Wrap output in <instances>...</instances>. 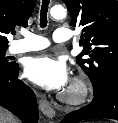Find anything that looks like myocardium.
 <instances>
[{
    "label": "myocardium",
    "instance_id": "f54148a6",
    "mask_svg": "<svg viewBox=\"0 0 118 123\" xmlns=\"http://www.w3.org/2000/svg\"><path fill=\"white\" fill-rule=\"evenodd\" d=\"M91 93V87L88 80L83 77L74 78L68 88L63 91L59 97L61 101L69 105H78L84 103Z\"/></svg>",
    "mask_w": 118,
    "mask_h": 123
}]
</instances>
